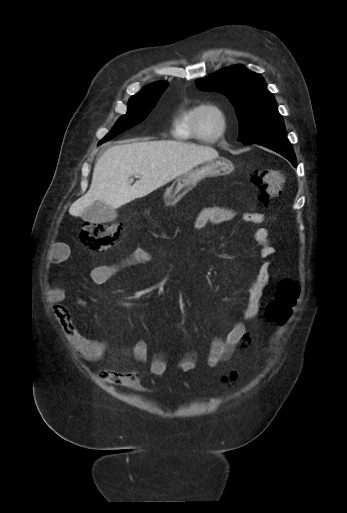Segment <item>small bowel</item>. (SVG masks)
Here are the masks:
<instances>
[{
    "label": "small bowel",
    "mask_w": 347,
    "mask_h": 513,
    "mask_svg": "<svg viewBox=\"0 0 347 513\" xmlns=\"http://www.w3.org/2000/svg\"><path fill=\"white\" fill-rule=\"evenodd\" d=\"M236 211L226 206L209 207L201 210L195 220L197 230L206 229L209 226L220 225L230 222L236 217ZM244 222L256 227L254 239L260 246V257L263 263L257 270L253 279L250 280L248 290L252 298L243 311L245 320L254 319L260 309L261 292L269 280L270 259L275 255V248L271 245L268 229L264 226V217L258 212L245 213L242 216ZM68 246L64 243L54 244L47 257L48 265H55L66 260L68 257ZM151 260V254L142 247L136 248L121 259L95 267L90 272V279L95 284H104L123 270ZM49 302L57 315L60 327L73 348L86 361H100L107 351V344L101 340L88 338L74 327L69 309L62 304L65 299V290L62 281L56 278L49 283L46 290ZM248 337L245 324L241 321L234 322L231 328L223 335L214 336L209 345L206 364L214 368L219 364L231 359L236 348ZM128 353L138 362L144 363L147 360L148 344L145 340H136L129 348ZM177 368L182 372H190L196 368V354L185 353L177 362ZM149 369L153 374L162 375L167 371V360L162 352L153 355ZM140 372H116L104 371L101 376L109 384H118L124 387L136 388L140 382Z\"/></svg>",
    "instance_id": "obj_1"
}]
</instances>
